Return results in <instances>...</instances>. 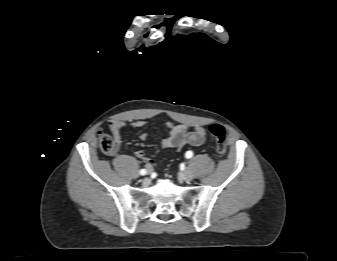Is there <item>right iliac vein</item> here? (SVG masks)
<instances>
[{
    "instance_id": "63e3f726",
    "label": "right iliac vein",
    "mask_w": 337,
    "mask_h": 261,
    "mask_svg": "<svg viewBox=\"0 0 337 261\" xmlns=\"http://www.w3.org/2000/svg\"><path fill=\"white\" fill-rule=\"evenodd\" d=\"M150 172H151V170H150V169H148L147 173H148V174H150Z\"/></svg>"
}]
</instances>
